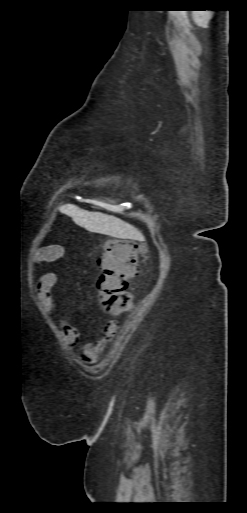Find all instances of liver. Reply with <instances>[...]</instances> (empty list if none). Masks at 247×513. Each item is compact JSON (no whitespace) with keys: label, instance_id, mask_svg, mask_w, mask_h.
<instances>
[{"label":"liver","instance_id":"1","mask_svg":"<svg viewBox=\"0 0 247 513\" xmlns=\"http://www.w3.org/2000/svg\"><path fill=\"white\" fill-rule=\"evenodd\" d=\"M60 212L70 216L75 224L94 233L105 234L121 239H139L142 237L135 227L123 220L101 212L83 210L74 204H64Z\"/></svg>","mask_w":247,"mask_h":513}]
</instances>
